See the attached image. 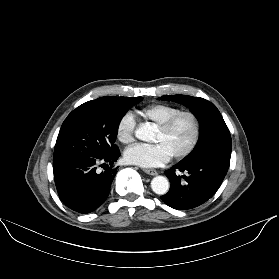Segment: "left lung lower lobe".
<instances>
[{
    "label": "left lung lower lobe",
    "instance_id": "1",
    "mask_svg": "<svg viewBox=\"0 0 279 279\" xmlns=\"http://www.w3.org/2000/svg\"><path fill=\"white\" fill-rule=\"evenodd\" d=\"M229 166L214 158L181 161L165 172L170 180L169 192L161 199L170 207L186 210L210 199L219 189ZM186 172L178 175L176 172Z\"/></svg>",
    "mask_w": 279,
    "mask_h": 279
}]
</instances>
